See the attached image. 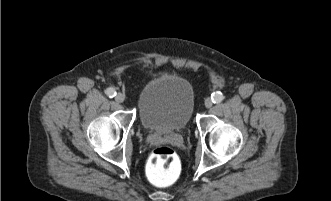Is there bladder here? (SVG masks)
<instances>
[{
    "instance_id": "1",
    "label": "bladder",
    "mask_w": 331,
    "mask_h": 201,
    "mask_svg": "<svg viewBox=\"0 0 331 201\" xmlns=\"http://www.w3.org/2000/svg\"><path fill=\"white\" fill-rule=\"evenodd\" d=\"M137 111L143 128L169 134L183 130L194 112L191 84L176 75H160L147 82L137 97Z\"/></svg>"
}]
</instances>
